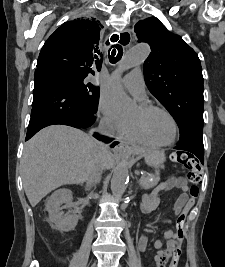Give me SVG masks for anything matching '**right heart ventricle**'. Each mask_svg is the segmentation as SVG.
Returning a JSON list of instances; mask_svg holds the SVG:
<instances>
[{
    "label": "right heart ventricle",
    "mask_w": 225,
    "mask_h": 267,
    "mask_svg": "<svg viewBox=\"0 0 225 267\" xmlns=\"http://www.w3.org/2000/svg\"><path fill=\"white\" fill-rule=\"evenodd\" d=\"M122 137L133 144L147 148H157L143 137L133 121L128 122V127Z\"/></svg>",
    "instance_id": "1"
}]
</instances>
